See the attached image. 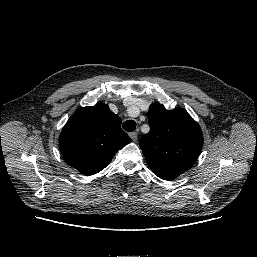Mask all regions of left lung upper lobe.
I'll use <instances>...</instances> for the list:
<instances>
[{
  "instance_id": "left-lung-upper-lobe-1",
  "label": "left lung upper lobe",
  "mask_w": 257,
  "mask_h": 257,
  "mask_svg": "<svg viewBox=\"0 0 257 257\" xmlns=\"http://www.w3.org/2000/svg\"><path fill=\"white\" fill-rule=\"evenodd\" d=\"M150 131L140 140L145 159L158 177L175 179L189 170L203 146L199 125L186 110L153 103L147 113Z\"/></svg>"
}]
</instances>
